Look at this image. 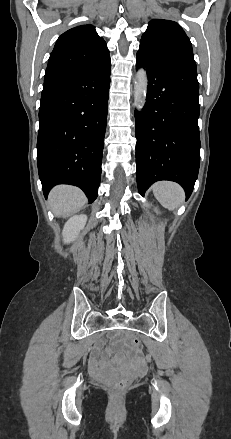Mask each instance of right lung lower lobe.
Segmentation results:
<instances>
[{"instance_id":"obj_1","label":"right lung lower lobe","mask_w":231,"mask_h":439,"mask_svg":"<svg viewBox=\"0 0 231 439\" xmlns=\"http://www.w3.org/2000/svg\"><path fill=\"white\" fill-rule=\"evenodd\" d=\"M111 61L95 70L44 83L39 109L37 162L43 193L57 184L98 196L106 130Z\"/></svg>"}]
</instances>
